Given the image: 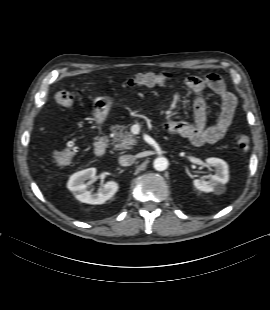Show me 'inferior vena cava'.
I'll use <instances>...</instances> for the list:
<instances>
[{"label":"inferior vena cava","mask_w":270,"mask_h":310,"mask_svg":"<svg viewBox=\"0 0 270 310\" xmlns=\"http://www.w3.org/2000/svg\"><path fill=\"white\" fill-rule=\"evenodd\" d=\"M135 156L134 155H122L119 157V164L121 166H130L134 163Z\"/></svg>","instance_id":"inferior-vena-cava-1"}]
</instances>
